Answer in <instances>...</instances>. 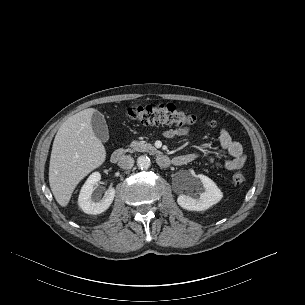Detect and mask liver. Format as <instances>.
Listing matches in <instances>:
<instances>
[{"mask_svg":"<svg viewBox=\"0 0 305 305\" xmlns=\"http://www.w3.org/2000/svg\"><path fill=\"white\" fill-rule=\"evenodd\" d=\"M94 108L84 109L69 117L59 128L52 146L49 184L59 205H68L79 184L106 158L105 147L91 125Z\"/></svg>","mask_w":305,"mask_h":305,"instance_id":"obj_1","label":"liver"}]
</instances>
